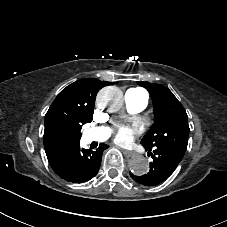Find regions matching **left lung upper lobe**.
Returning a JSON list of instances; mask_svg holds the SVG:
<instances>
[{
	"instance_id": "left-lung-upper-lobe-1",
	"label": "left lung upper lobe",
	"mask_w": 227,
	"mask_h": 227,
	"mask_svg": "<svg viewBox=\"0 0 227 227\" xmlns=\"http://www.w3.org/2000/svg\"><path fill=\"white\" fill-rule=\"evenodd\" d=\"M137 83L149 91L155 114V121L141 144L145 149L167 147L184 155L190 132L184 107L165 86L149 82Z\"/></svg>"
}]
</instances>
